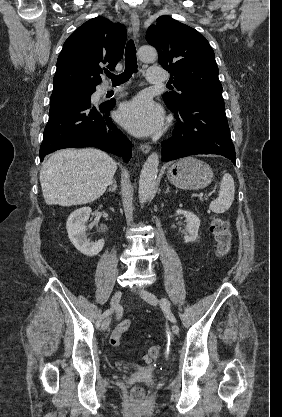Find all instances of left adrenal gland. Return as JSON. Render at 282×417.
Segmentation results:
<instances>
[{
    "label": "left adrenal gland",
    "mask_w": 282,
    "mask_h": 417,
    "mask_svg": "<svg viewBox=\"0 0 282 417\" xmlns=\"http://www.w3.org/2000/svg\"><path fill=\"white\" fill-rule=\"evenodd\" d=\"M169 188H170V186H169V184H168V186H167V188H166V192H170Z\"/></svg>",
    "instance_id": "obj_1"
}]
</instances>
